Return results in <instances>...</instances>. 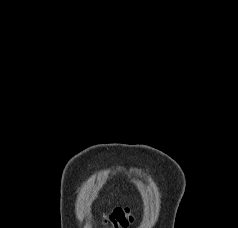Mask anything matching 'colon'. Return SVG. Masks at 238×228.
Returning <instances> with one entry per match:
<instances>
[{"instance_id":"obj_1","label":"colon","mask_w":238,"mask_h":228,"mask_svg":"<svg viewBox=\"0 0 238 228\" xmlns=\"http://www.w3.org/2000/svg\"><path fill=\"white\" fill-rule=\"evenodd\" d=\"M132 222V217L127 208L117 207L113 209L104 219L102 223L111 225L114 228L127 227Z\"/></svg>"}]
</instances>
